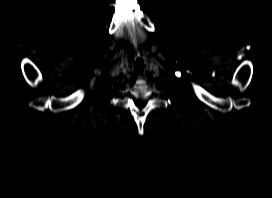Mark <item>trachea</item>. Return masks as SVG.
<instances>
[{
	"instance_id": "3493384b",
	"label": "trachea",
	"mask_w": 272,
	"mask_h": 198,
	"mask_svg": "<svg viewBox=\"0 0 272 198\" xmlns=\"http://www.w3.org/2000/svg\"><path fill=\"white\" fill-rule=\"evenodd\" d=\"M135 72L136 74H142L143 73V67L138 66L137 64L135 65Z\"/></svg>"
}]
</instances>
